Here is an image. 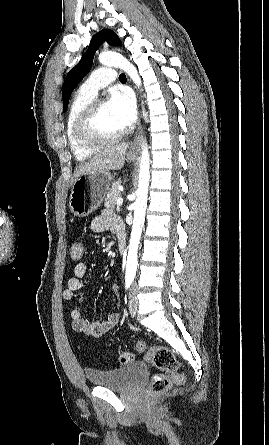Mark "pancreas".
<instances>
[{"label": "pancreas", "mask_w": 269, "mask_h": 445, "mask_svg": "<svg viewBox=\"0 0 269 445\" xmlns=\"http://www.w3.org/2000/svg\"><path fill=\"white\" fill-rule=\"evenodd\" d=\"M120 183L114 182L111 186L110 191L107 193V197L105 199V207L109 209H114L116 206V201L121 197V193L118 189Z\"/></svg>", "instance_id": "obj_1"}]
</instances>
